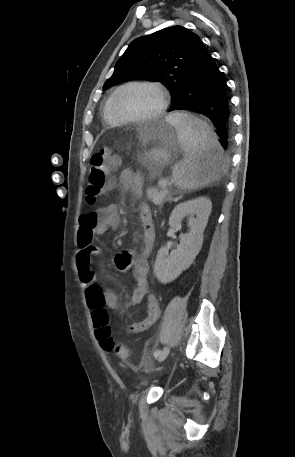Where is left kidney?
Segmentation results:
<instances>
[{
  "instance_id": "1",
  "label": "left kidney",
  "mask_w": 295,
  "mask_h": 457,
  "mask_svg": "<svg viewBox=\"0 0 295 457\" xmlns=\"http://www.w3.org/2000/svg\"><path fill=\"white\" fill-rule=\"evenodd\" d=\"M212 210V203L206 197H199L178 204L169 218V225L180 229L182 220L189 217V232L180 235V244L176 250L162 246L156 256L154 273L157 279L167 284L175 280L194 262L203 244V232Z\"/></svg>"
}]
</instances>
